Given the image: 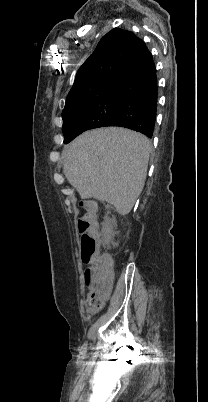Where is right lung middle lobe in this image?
Here are the masks:
<instances>
[{
    "label": "right lung middle lobe",
    "mask_w": 208,
    "mask_h": 402,
    "mask_svg": "<svg viewBox=\"0 0 208 402\" xmlns=\"http://www.w3.org/2000/svg\"><path fill=\"white\" fill-rule=\"evenodd\" d=\"M120 97L118 88L112 81L68 96L62 112L63 123L118 111Z\"/></svg>",
    "instance_id": "right-lung-middle-lobe-1"
}]
</instances>
